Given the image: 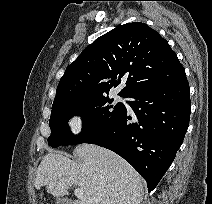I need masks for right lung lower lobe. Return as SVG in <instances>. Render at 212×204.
I'll use <instances>...</instances> for the list:
<instances>
[{
    "instance_id": "right-lung-lower-lobe-1",
    "label": "right lung lower lobe",
    "mask_w": 212,
    "mask_h": 204,
    "mask_svg": "<svg viewBox=\"0 0 212 204\" xmlns=\"http://www.w3.org/2000/svg\"><path fill=\"white\" fill-rule=\"evenodd\" d=\"M126 108L85 143L110 149L128 161L152 191L181 146L189 125L190 88L185 72L163 85L129 96Z\"/></svg>"
}]
</instances>
